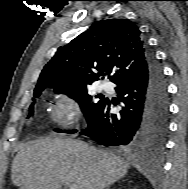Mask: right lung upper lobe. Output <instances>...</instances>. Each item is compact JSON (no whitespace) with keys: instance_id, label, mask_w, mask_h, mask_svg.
<instances>
[{"instance_id":"1","label":"right lung upper lobe","mask_w":188,"mask_h":189,"mask_svg":"<svg viewBox=\"0 0 188 189\" xmlns=\"http://www.w3.org/2000/svg\"><path fill=\"white\" fill-rule=\"evenodd\" d=\"M150 50L141 31L126 19H107L94 23L69 44L60 47L45 65L34 93L45 87L87 88L100 76L114 72L116 85L144 74Z\"/></svg>"}]
</instances>
